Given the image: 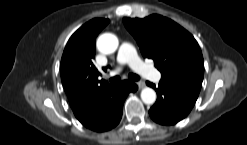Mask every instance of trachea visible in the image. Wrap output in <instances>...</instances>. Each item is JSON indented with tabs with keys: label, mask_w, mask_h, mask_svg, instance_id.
Returning <instances> with one entry per match:
<instances>
[{
	"label": "trachea",
	"mask_w": 247,
	"mask_h": 145,
	"mask_svg": "<svg viewBox=\"0 0 247 145\" xmlns=\"http://www.w3.org/2000/svg\"><path fill=\"white\" fill-rule=\"evenodd\" d=\"M128 78L131 81H138V80H140V77L138 75H136V74H133V73H130L128 75ZM119 81H120V77L119 76H115V77L110 78V83L111 84L119 83Z\"/></svg>",
	"instance_id": "1"
}]
</instances>
